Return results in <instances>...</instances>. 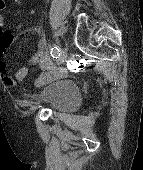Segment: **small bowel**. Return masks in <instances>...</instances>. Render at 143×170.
<instances>
[{"label": "small bowel", "mask_w": 143, "mask_h": 170, "mask_svg": "<svg viewBox=\"0 0 143 170\" xmlns=\"http://www.w3.org/2000/svg\"><path fill=\"white\" fill-rule=\"evenodd\" d=\"M19 1V0H14ZM4 2L2 0V6H4ZM6 25V17L4 14L0 13V78L3 83L7 86H15L17 82L23 81L28 73L29 67L24 66L17 70L15 74L12 76L6 72V62L4 60V51L8 48L14 41V37L11 32L5 29ZM36 33H40L41 29L39 27H35L33 29ZM38 65L42 70L39 78L37 79V84H42L51 78L52 70H53V62L50 56L47 53V43L46 40L40 38L37 42L36 52L30 58L29 65ZM60 75L65 74V69L59 70Z\"/></svg>", "instance_id": "small-bowel-1"}]
</instances>
